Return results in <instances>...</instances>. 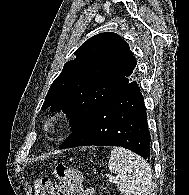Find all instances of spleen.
<instances>
[{
    "label": "spleen",
    "mask_w": 189,
    "mask_h": 195,
    "mask_svg": "<svg viewBox=\"0 0 189 195\" xmlns=\"http://www.w3.org/2000/svg\"><path fill=\"white\" fill-rule=\"evenodd\" d=\"M109 170L120 179L123 195H148L151 191L150 165L140 156L122 147H114L108 162Z\"/></svg>",
    "instance_id": "obj_1"
}]
</instances>
